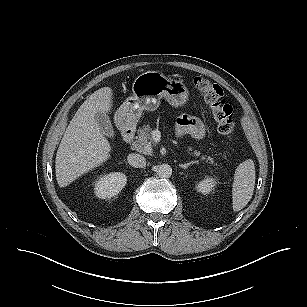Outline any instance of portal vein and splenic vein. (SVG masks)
I'll list each match as a JSON object with an SVG mask.
<instances>
[{
    "label": "portal vein and splenic vein",
    "mask_w": 307,
    "mask_h": 307,
    "mask_svg": "<svg viewBox=\"0 0 307 307\" xmlns=\"http://www.w3.org/2000/svg\"><path fill=\"white\" fill-rule=\"evenodd\" d=\"M160 132L158 130H155L153 133H152V137H153V140L156 141V142H159L160 140Z\"/></svg>",
    "instance_id": "obj_1"
}]
</instances>
